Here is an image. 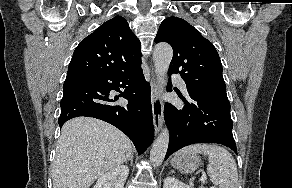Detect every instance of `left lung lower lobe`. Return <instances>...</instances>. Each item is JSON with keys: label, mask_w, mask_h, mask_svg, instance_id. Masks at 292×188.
Segmentation results:
<instances>
[{"label": "left lung lower lobe", "mask_w": 292, "mask_h": 188, "mask_svg": "<svg viewBox=\"0 0 292 188\" xmlns=\"http://www.w3.org/2000/svg\"><path fill=\"white\" fill-rule=\"evenodd\" d=\"M169 85L167 90L171 91ZM188 93L189 98H183L185 106L182 109L172 104L165 105L164 115L170 131L165 159L195 143L223 144L237 153L228 98L205 96L191 91Z\"/></svg>", "instance_id": "obj_1"}]
</instances>
